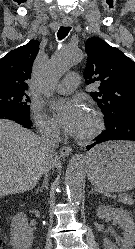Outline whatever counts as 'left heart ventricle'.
Returning a JSON list of instances; mask_svg holds the SVG:
<instances>
[{"label": "left heart ventricle", "instance_id": "obj_1", "mask_svg": "<svg viewBox=\"0 0 135 249\" xmlns=\"http://www.w3.org/2000/svg\"><path fill=\"white\" fill-rule=\"evenodd\" d=\"M91 126H92V116L88 112V114H87V120H86L85 125L83 127V130L81 131V133L79 134V136L85 135L91 129Z\"/></svg>", "mask_w": 135, "mask_h": 249}]
</instances>
